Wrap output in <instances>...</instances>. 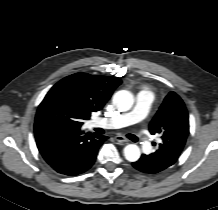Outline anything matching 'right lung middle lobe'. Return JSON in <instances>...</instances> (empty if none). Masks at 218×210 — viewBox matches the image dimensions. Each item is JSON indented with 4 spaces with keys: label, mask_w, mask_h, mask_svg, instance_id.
<instances>
[{
    "label": "right lung middle lobe",
    "mask_w": 218,
    "mask_h": 210,
    "mask_svg": "<svg viewBox=\"0 0 218 210\" xmlns=\"http://www.w3.org/2000/svg\"><path fill=\"white\" fill-rule=\"evenodd\" d=\"M89 117L63 93L51 90L38 107L35 123L56 122L70 129H80Z\"/></svg>",
    "instance_id": "right-lung-middle-lobe-1"
}]
</instances>
